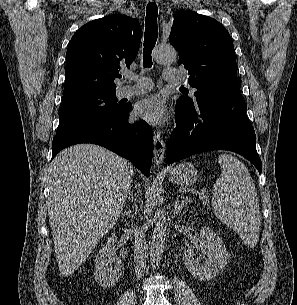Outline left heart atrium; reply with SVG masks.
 <instances>
[{
  "mask_svg": "<svg viewBox=\"0 0 297 305\" xmlns=\"http://www.w3.org/2000/svg\"><path fill=\"white\" fill-rule=\"evenodd\" d=\"M135 115L138 119L151 125H160L166 121V107L162 97L150 96L137 103Z\"/></svg>",
  "mask_w": 297,
  "mask_h": 305,
  "instance_id": "1",
  "label": "left heart atrium"
}]
</instances>
